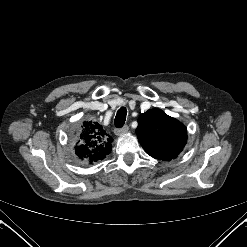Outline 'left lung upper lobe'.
<instances>
[{
	"label": "left lung upper lobe",
	"instance_id": "5c2ea615",
	"mask_svg": "<svg viewBox=\"0 0 247 247\" xmlns=\"http://www.w3.org/2000/svg\"><path fill=\"white\" fill-rule=\"evenodd\" d=\"M136 133L146 153L163 161L176 158L187 142L184 125L160 109L143 113L138 119Z\"/></svg>",
	"mask_w": 247,
	"mask_h": 247
}]
</instances>
